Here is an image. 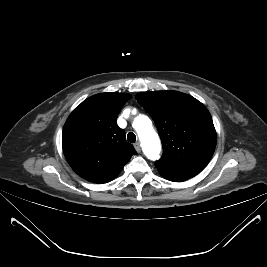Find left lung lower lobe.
I'll list each match as a JSON object with an SVG mask.
<instances>
[{
  "label": "left lung lower lobe",
  "mask_w": 267,
  "mask_h": 267,
  "mask_svg": "<svg viewBox=\"0 0 267 267\" xmlns=\"http://www.w3.org/2000/svg\"><path fill=\"white\" fill-rule=\"evenodd\" d=\"M156 168L158 169L159 173L164 178H166L167 180H170V181L182 182V181H185V180L190 178L188 176L182 175L180 173L174 172V171L169 170V169H165V168H161V167H157V166H156Z\"/></svg>",
  "instance_id": "obj_1"
}]
</instances>
